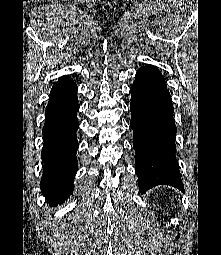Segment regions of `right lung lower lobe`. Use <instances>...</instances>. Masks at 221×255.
Returning a JSON list of instances; mask_svg holds the SVG:
<instances>
[{
	"instance_id": "right-lung-lower-lobe-1",
	"label": "right lung lower lobe",
	"mask_w": 221,
	"mask_h": 255,
	"mask_svg": "<svg viewBox=\"0 0 221 255\" xmlns=\"http://www.w3.org/2000/svg\"><path fill=\"white\" fill-rule=\"evenodd\" d=\"M78 110L77 86L69 76H63L50 92L43 127L44 170L40 188L51 203L65 201L73 191V177L78 166Z\"/></svg>"
}]
</instances>
